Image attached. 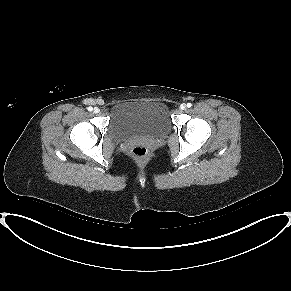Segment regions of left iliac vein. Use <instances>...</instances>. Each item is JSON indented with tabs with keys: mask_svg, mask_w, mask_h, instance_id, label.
<instances>
[{
	"mask_svg": "<svg viewBox=\"0 0 291 291\" xmlns=\"http://www.w3.org/2000/svg\"><path fill=\"white\" fill-rule=\"evenodd\" d=\"M185 108H186V105H185V104H181V105H180V109H181V110H184Z\"/></svg>",
	"mask_w": 291,
	"mask_h": 291,
	"instance_id": "left-iliac-vein-1",
	"label": "left iliac vein"
}]
</instances>
